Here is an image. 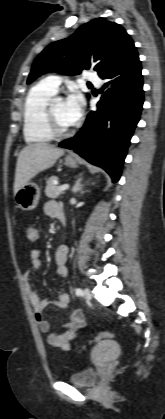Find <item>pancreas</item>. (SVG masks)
<instances>
[{
	"label": "pancreas",
	"mask_w": 165,
	"mask_h": 419,
	"mask_svg": "<svg viewBox=\"0 0 165 419\" xmlns=\"http://www.w3.org/2000/svg\"><path fill=\"white\" fill-rule=\"evenodd\" d=\"M58 180L56 176H51L47 180L46 188H45V194L49 198H57L59 195L63 193V191L59 190L58 185L54 184V181Z\"/></svg>",
	"instance_id": "pancreas-1"
}]
</instances>
